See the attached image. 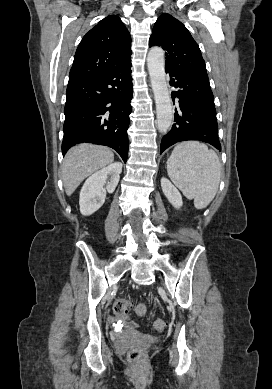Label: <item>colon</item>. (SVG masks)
Instances as JSON below:
<instances>
[{
	"mask_svg": "<svg viewBox=\"0 0 272 389\" xmlns=\"http://www.w3.org/2000/svg\"><path fill=\"white\" fill-rule=\"evenodd\" d=\"M134 310L139 316H145L148 312V308L144 303H132L128 299H118L113 305L114 314L121 320H127L130 312ZM154 327L158 331H162L165 328V322L162 319H155ZM147 354V346L140 345L133 347L128 352L127 358L134 365H140L144 363Z\"/></svg>",
	"mask_w": 272,
	"mask_h": 389,
	"instance_id": "1",
	"label": "colon"
}]
</instances>
